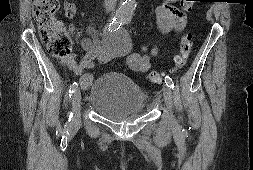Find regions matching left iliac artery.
Masks as SVG:
<instances>
[{"label":"left iliac artery","mask_w":253,"mask_h":170,"mask_svg":"<svg viewBox=\"0 0 253 170\" xmlns=\"http://www.w3.org/2000/svg\"><path fill=\"white\" fill-rule=\"evenodd\" d=\"M131 19H132V14H128L122 18V23L128 24V23H130ZM165 83L168 87L174 89V87H175L174 82L172 81V79L169 76H166Z\"/></svg>","instance_id":"44dca946"}]
</instances>
